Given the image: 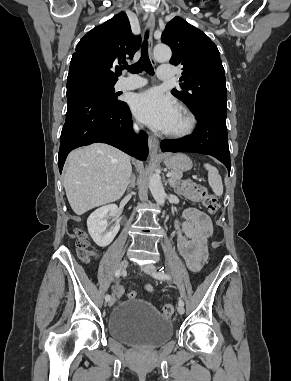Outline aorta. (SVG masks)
<instances>
[{
    "label": "aorta",
    "mask_w": 291,
    "mask_h": 381,
    "mask_svg": "<svg viewBox=\"0 0 291 381\" xmlns=\"http://www.w3.org/2000/svg\"><path fill=\"white\" fill-rule=\"evenodd\" d=\"M154 57L158 61H168L171 58V49L164 44H158L153 50ZM149 189L155 201L159 205L165 203V191L160 178L157 175H152L149 179Z\"/></svg>",
    "instance_id": "obj_1"
}]
</instances>
